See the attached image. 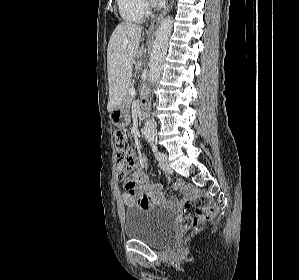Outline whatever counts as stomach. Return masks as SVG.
I'll return each mask as SVG.
<instances>
[{
	"label": "stomach",
	"instance_id": "0dacf381",
	"mask_svg": "<svg viewBox=\"0 0 299 280\" xmlns=\"http://www.w3.org/2000/svg\"><path fill=\"white\" fill-rule=\"evenodd\" d=\"M129 103L123 102L121 105L116 107L111 113L110 118L113 125L118 128L127 127L130 123V115H129Z\"/></svg>",
	"mask_w": 299,
	"mask_h": 280
}]
</instances>
